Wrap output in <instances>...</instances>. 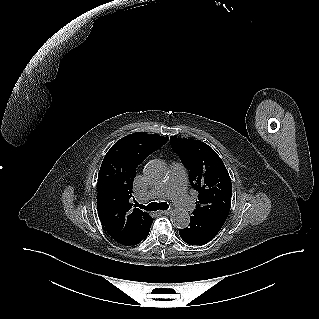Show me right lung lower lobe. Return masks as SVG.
Here are the masks:
<instances>
[{
    "label": "right lung lower lobe",
    "instance_id": "1",
    "mask_svg": "<svg viewBox=\"0 0 319 319\" xmlns=\"http://www.w3.org/2000/svg\"><path fill=\"white\" fill-rule=\"evenodd\" d=\"M152 224V223H151ZM151 224L147 226V228L143 231V233L136 239L135 243L132 245H136L140 243L142 240H145L149 234Z\"/></svg>",
    "mask_w": 319,
    "mask_h": 319
}]
</instances>
